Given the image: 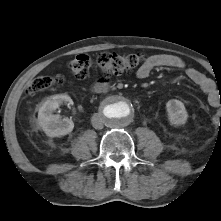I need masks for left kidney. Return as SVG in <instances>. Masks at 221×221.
Returning <instances> with one entry per match:
<instances>
[{"label":"left kidney","mask_w":221,"mask_h":221,"mask_svg":"<svg viewBox=\"0 0 221 221\" xmlns=\"http://www.w3.org/2000/svg\"><path fill=\"white\" fill-rule=\"evenodd\" d=\"M166 111L171 125L180 126L186 123L188 114L181 101L176 99L169 100L166 103Z\"/></svg>","instance_id":"1"}]
</instances>
